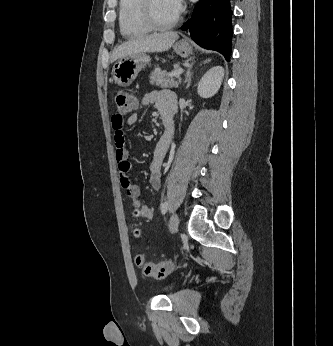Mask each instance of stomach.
Masks as SVG:
<instances>
[{
  "label": "stomach",
  "mask_w": 333,
  "mask_h": 346,
  "mask_svg": "<svg viewBox=\"0 0 333 346\" xmlns=\"http://www.w3.org/2000/svg\"><path fill=\"white\" fill-rule=\"evenodd\" d=\"M173 50L181 57H189L193 48L186 40H181L173 45ZM151 58L146 53L120 58L112 68V76L116 84L122 87L129 86L138 73L150 62Z\"/></svg>",
  "instance_id": "0dacf381"
}]
</instances>
